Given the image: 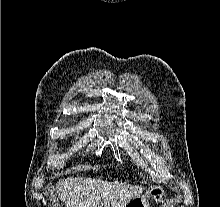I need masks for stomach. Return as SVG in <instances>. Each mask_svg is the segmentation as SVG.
<instances>
[{"instance_id":"0dacf381","label":"stomach","mask_w":220,"mask_h":207,"mask_svg":"<svg viewBox=\"0 0 220 207\" xmlns=\"http://www.w3.org/2000/svg\"><path fill=\"white\" fill-rule=\"evenodd\" d=\"M152 198L156 203H161L166 197L165 189L160 185L151 186L146 195H139L131 199L125 207H150L147 198Z\"/></svg>"}]
</instances>
